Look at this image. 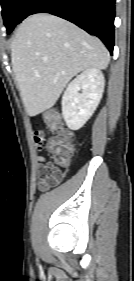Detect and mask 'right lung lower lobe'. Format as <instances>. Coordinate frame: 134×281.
<instances>
[{"label": "right lung lower lobe", "mask_w": 134, "mask_h": 281, "mask_svg": "<svg viewBox=\"0 0 134 281\" xmlns=\"http://www.w3.org/2000/svg\"><path fill=\"white\" fill-rule=\"evenodd\" d=\"M35 13H50L76 24L99 37L112 54L115 0H32L23 19Z\"/></svg>", "instance_id": "obj_1"}]
</instances>
